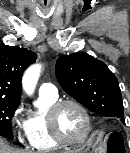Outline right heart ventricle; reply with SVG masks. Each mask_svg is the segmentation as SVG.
Segmentation results:
<instances>
[{
  "label": "right heart ventricle",
  "instance_id": "1",
  "mask_svg": "<svg viewBox=\"0 0 130 153\" xmlns=\"http://www.w3.org/2000/svg\"><path fill=\"white\" fill-rule=\"evenodd\" d=\"M57 99V96L39 95L37 109L31 112L27 119L26 136L34 151L49 152L59 148V144L50 135L47 125L48 110Z\"/></svg>",
  "mask_w": 130,
  "mask_h": 153
}]
</instances>
